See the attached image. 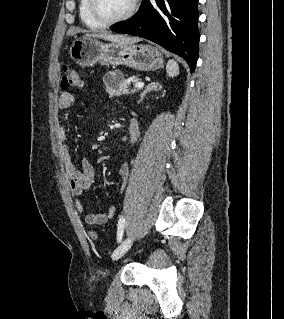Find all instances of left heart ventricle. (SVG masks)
Masks as SVG:
<instances>
[{
    "instance_id": "left-heart-ventricle-1",
    "label": "left heart ventricle",
    "mask_w": 284,
    "mask_h": 319,
    "mask_svg": "<svg viewBox=\"0 0 284 319\" xmlns=\"http://www.w3.org/2000/svg\"><path fill=\"white\" fill-rule=\"evenodd\" d=\"M131 0H98L100 12L107 18L122 15L130 6Z\"/></svg>"
}]
</instances>
